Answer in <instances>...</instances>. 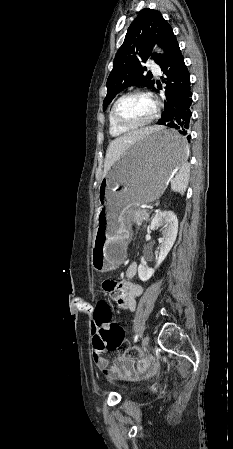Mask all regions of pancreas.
I'll use <instances>...</instances> for the list:
<instances>
[{"mask_svg": "<svg viewBox=\"0 0 233 449\" xmlns=\"http://www.w3.org/2000/svg\"><path fill=\"white\" fill-rule=\"evenodd\" d=\"M130 219L133 223L140 225L149 220V213L143 209H134L130 212Z\"/></svg>", "mask_w": 233, "mask_h": 449, "instance_id": "obj_1", "label": "pancreas"}]
</instances>
